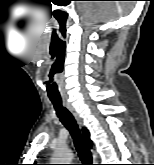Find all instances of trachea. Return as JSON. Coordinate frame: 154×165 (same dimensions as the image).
Wrapping results in <instances>:
<instances>
[{"instance_id":"3493384b","label":"trachea","mask_w":154,"mask_h":165,"mask_svg":"<svg viewBox=\"0 0 154 165\" xmlns=\"http://www.w3.org/2000/svg\"><path fill=\"white\" fill-rule=\"evenodd\" d=\"M50 100L55 108L58 118L60 119L62 124L69 130L73 138L78 156L83 163L81 165H92L91 151L82 138L74 116L65 106H63L61 98H50Z\"/></svg>"}]
</instances>
